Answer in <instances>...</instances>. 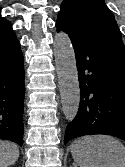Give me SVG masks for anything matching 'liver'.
Returning a JSON list of instances; mask_svg holds the SVG:
<instances>
[{"mask_svg": "<svg viewBox=\"0 0 125 167\" xmlns=\"http://www.w3.org/2000/svg\"><path fill=\"white\" fill-rule=\"evenodd\" d=\"M19 157L18 146L12 142L0 140V167L13 165Z\"/></svg>", "mask_w": 125, "mask_h": 167, "instance_id": "1", "label": "liver"}]
</instances>
